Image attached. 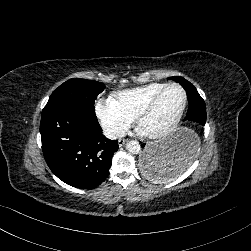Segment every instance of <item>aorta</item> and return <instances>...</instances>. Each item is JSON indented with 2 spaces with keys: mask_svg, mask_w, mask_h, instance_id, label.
I'll list each match as a JSON object with an SVG mask.
<instances>
[{
  "mask_svg": "<svg viewBox=\"0 0 251 251\" xmlns=\"http://www.w3.org/2000/svg\"><path fill=\"white\" fill-rule=\"evenodd\" d=\"M125 148L128 152L136 154L140 151V145L135 140H129L127 141Z\"/></svg>",
  "mask_w": 251,
  "mask_h": 251,
  "instance_id": "obj_1",
  "label": "aorta"
}]
</instances>
